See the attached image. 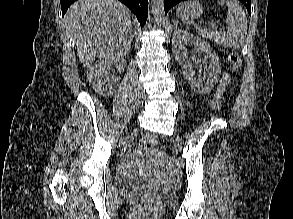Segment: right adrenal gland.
<instances>
[{
	"label": "right adrenal gland",
	"instance_id": "1",
	"mask_svg": "<svg viewBox=\"0 0 293 219\" xmlns=\"http://www.w3.org/2000/svg\"><path fill=\"white\" fill-rule=\"evenodd\" d=\"M134 35H133V30H132V35H131V39H133Z\"/></svg>",
	"mask_w": 293,
	"mask_h": 219
}]
</instances>
